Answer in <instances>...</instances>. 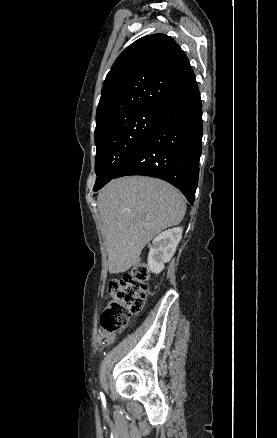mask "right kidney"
Wrapping results in <instances>:
<instances>
[{
  "label": "right kidney",
  "instance_id": "1",
  "mask_svg": "<svg viewBox=\"0 0 277 438\" xmlns=\"http://www.w3.org/2000/svg\"><path fill=\"white\" fill-rule=\"evenodd\" d=\"M183 228H171L166 232H161L152 242V246L148 254L149 272L160 274L164 270V264L170 262L175 250L182 238Z\"/></svg>",
  "mask_w": 277,
  "mask_h": 438
}]
</instances>
